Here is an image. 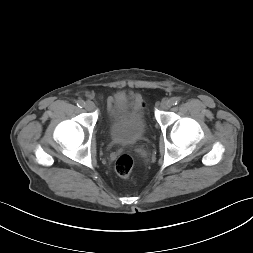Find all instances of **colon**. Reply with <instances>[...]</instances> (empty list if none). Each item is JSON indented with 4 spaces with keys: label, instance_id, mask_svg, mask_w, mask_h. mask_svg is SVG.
I'll return each mask as SVG.
<instances>
[{
    "label": "colon",
    "instance_id": "obj_1",
    "mask_svg": "<svg viewBox=\"0 0 253 253\" xmlns=\"http://www.w3.org/2000/svg\"><path fill=\"white\" fill-rule=\"evenodd\" d=\"M134 166V160L130 155H121L115 163V171L122 178H129Z\"/></svg>",
    "mask_w": 253,
    "mask_h": 253
}]
</instances>
